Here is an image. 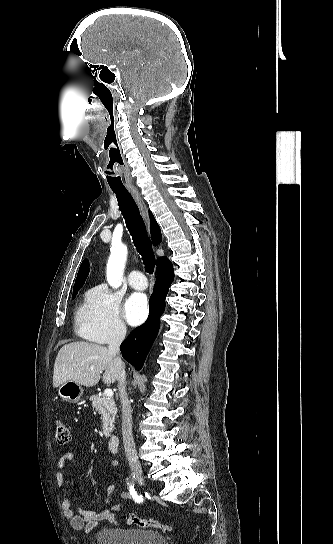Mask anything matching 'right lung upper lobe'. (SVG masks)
<instances>
[{"label":"right lung upper lobe","mask_w":333,"mask_h":544,"mask_svg":"<svg viewBox=\"0 0 333 544\" xmlns=\"http://www.w3.org/2000/svg\"><path fill=\"white\" fill-rule=\"evenodd\" d=\"M149 215H150V228H151V235H152L153 242L154 244H159L162 241L160 227L155 221L151 212L149 213ZM166 264H170V261L166 257H161L158 259V269L163 267ZM88 273H89V262L87 259H85L79 268L73 291H78L83 286L88 276Z\"/></svg>","instance_id":"cb5924a9"}]
</instances>
